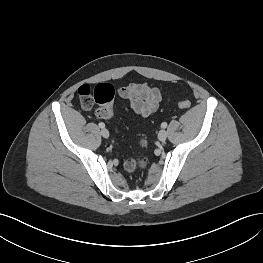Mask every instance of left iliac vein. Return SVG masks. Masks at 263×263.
I'll use <instances>...</instances> for the list:
<instances>
[{
  "label": "left iliac vein",
  "mask_w": 263,
  "mask_h": 263,
  "mask_svg": "<svg viewBox=\"0 0 263 263\" xmlns=\"http://www.w3.org/2000/svg\"><path fill=\"white\" fill-rule=\"evenodd\" d=\"M167 132L165 130H160L159 133H158V139L160 141H165L166 138H167Z\"/></svg>",
  "instance_id": "1"
}]
</instances>
